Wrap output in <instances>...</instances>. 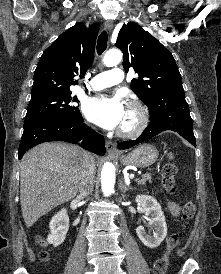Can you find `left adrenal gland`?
<instances>
[{"label": "left adrenal gland", "instance_id": "obj_1", "mask_svg": "<svg viewBox=\"0 0 221 274\" xmlns=\"http://www.w3.org/2000/svg\"><path fill=\"white\" fill-rule=\"evenodd\" d=\"M132 189L133 188L131 186H127L123 180L120 182V191L122 193H125L126 191L132 190Z\"/></svg>", "mask_w": 221, "mask_h": 274}]
</instances>
